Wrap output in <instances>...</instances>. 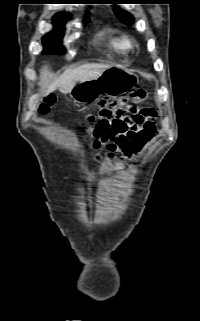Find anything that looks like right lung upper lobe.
Wrapping results in <instances>:
<instances>
[{
	"instance_id": "obj_1",
	"label": "right lung upper lobe",
	"mask_w": 200,
	"mask_h": 321,
	"mask_svg": "<svg viewBox=\"0 0 200 321\" xmlns=\"http://www.w3.org/2000/svg\"><path fill=\"white\" fill-rule=\"evenodd\" d=\"M54 17H55V18H65V17H70V13L60 12V13H57Z\"/></svg>"
}]
</instances>
